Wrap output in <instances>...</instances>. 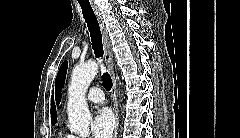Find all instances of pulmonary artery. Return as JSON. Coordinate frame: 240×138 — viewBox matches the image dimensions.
Masks as SVG:
<instances>
[{
    "mask_svg": "<svg viewBox=\"0 0 240 138\" xmlns=\"http://www.w3.org/2000/svg\"><path fill=\"white\" fill-rule=\"evenodd\" d=\"M87 99L91 103L101 104L104 101L103 91L98 87H93L89 90L87 94Z\"/></svg>",
    "mask_w": 240,
    "mask_h": 138,
    "instance_id": "e3ab8cb5",
    "label": "pulmonary artery"
}]
</instances>
